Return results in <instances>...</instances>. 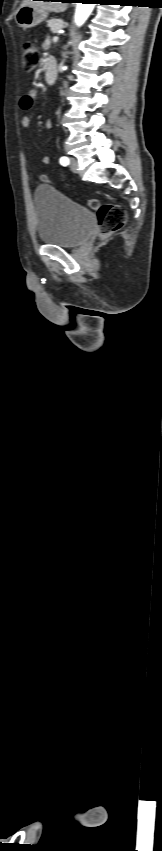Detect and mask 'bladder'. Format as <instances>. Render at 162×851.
I'll return each instance as SVG.
<instances>
[{
	"label": "bladder",
	"mask_w": 162,
	"mask_h": 851,
	"mask_svg": "<svg viewBox=\"0 0 162 851\" xmlns=\"http://www.w3.org/2000/svg\"><path fill=\"white\" fill-rule=\"evenodd\" d=\"M34 208L37 235L43 244L77 247L88 239L95 226L96 218L91 210L48 184L35 189Z\"/></svg>",
	"instance_id": "obj_1"
}]
</instances>
